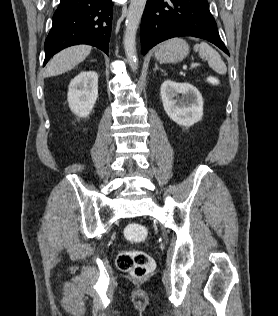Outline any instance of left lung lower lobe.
I'll return each mask as SVG.
<instances>
[{
    "label": "left lung lower lobe",
    "instance_id": "0a47b994",
    "mask_svg": "<svg viewBox=\"0 0 278 316\" xmlns=\"http://www.w3.org/2000/svg\"><path fill=\"white\" fill-rule=\"evenodd\" d=\"M181 36L208 40L229 55L207 0H147L141 21L142 54L164 40Z\"/></svg>",
    "mask_w": 278,
    "mask_h": 316
}]
</instances>
